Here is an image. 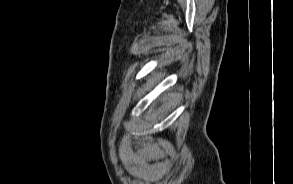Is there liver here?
Segmentation results:
<instances>
[{
  "label": "liver",
  "mask_w": 293,
  "mask_h": 184,
  "mask_svg": "<svg viewBox=\"0 0 293 184\" xmlns=\"http://www.w3.org/2000/svg\"><path fill=\"white\" fill-rule=\"evenodd\" d=\"M168 96H170V97H171V96H172V94H169Z\"/></svg>",
  "instance_id": "obj_1"
}]
</instances>
